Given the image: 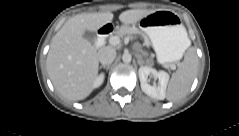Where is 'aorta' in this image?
Returning <instances> with one entry per match:
<instances>
[{"instance_id": "obj_1", "label": "aorta", "mask_w": 239, "mask_h": 136, "mask_svg": "<svg viewBox=\"0 0 239 136\" xmlns=\"http://www.w3.org/2000/svg\"><path fill=\"white\" fill-rule=\"evenodd\" d=\"M122 60H123V62H125V63L131 62V60H132L131 54L128 53V52H125V53L123 54V56H122Z\"/></svg>"}]
</instances>
